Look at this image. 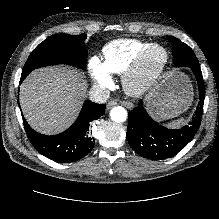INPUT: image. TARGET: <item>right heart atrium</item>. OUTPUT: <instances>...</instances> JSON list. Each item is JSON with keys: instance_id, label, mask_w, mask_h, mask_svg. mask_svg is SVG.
I'll return each mask as SVG.
<instances>
[{"instance_id": "right-heart-atrium-1", "label": "right heart atrium", "mask_w": 219, "mask_h": 219, "mask_svg": "<svg viewBox=\"0 0 219 219\" xmlns=\"http://www.w3.org/2000/svg\"><path fill=\"white\" fill-rule=\"evenodd\" d=\"M89 73L97 89H105L110 83V76L107 69L97 57H93L89 62Z\"/></svg>"}]
</instances>
